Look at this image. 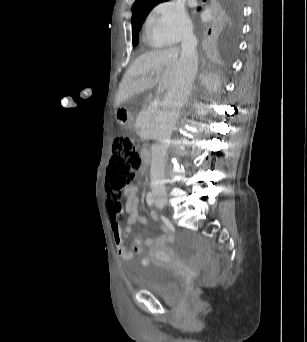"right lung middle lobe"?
Listing matches in <instances>:
<instances>
[{
	"label": "right lung middle lobe",
	"mask_w": 307,
	"mask_h": 342,
	"mask_svg": "<svg viewBox=\"0 0 307 342\" xmlns=\"http://www.w3.org/2000/svg\"><path fill=\"white\" fill-rule=\"evenodd\" d=\"M138 42V34L133 36V45L137 44Z\"/></svg>",
	"instance_id": "right-lung-middle-lobe-1"
}]
</instances>
